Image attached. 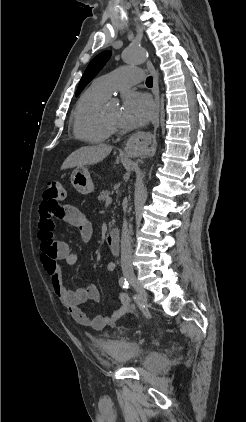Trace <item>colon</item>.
Wrapping results in <instances>:
<instances>
[{
    "label": "colon",
    "mask_w": 246,
    "mask_h": 422,
    "mask_svg": "<svg viewBox=\"0 0 246 422\" xmlns=\"http://www.w3.org/2000/svg\"><path fill=\"white\" fill-rule=\"evenodd\" d=\"M65 199V189L60 182L48 183L43 193V202L50 208L56 209L62 206Z\"/></svg>",
    "instance_id": "obj_1"
}]
</instances>
